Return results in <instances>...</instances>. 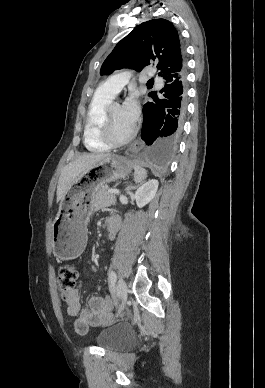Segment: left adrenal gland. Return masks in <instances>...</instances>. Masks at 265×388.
Returning <instances> with one entry per match:
<instances>
[{"mask_svg": "<svg viewBox=\"0 0 265 388\" xmlns=\"http://www.w3.org/2000/svg\"><path fill=\"white\" fill-rule=\"evenodd\" d=\"M133 188H137V186H127V190H133Z\"/></svg>", "mask_w": 265, "mask_h": 388, "instance_id": "left-adrenal-gland-1", "label": "left adrenal gland"}]
</instances>
